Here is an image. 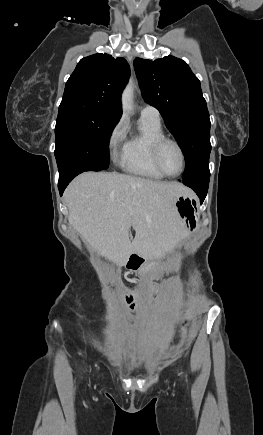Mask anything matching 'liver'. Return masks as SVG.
I'll return each instance as SVG.
<instances>
[{"instance_id": "1", "label": "liver", "mask_w": 263, "mask_h": 435, "mask_svg": "<svg viewBox=\"0 0 263 435\" xmlns=\"http://www.w3.org/2000/svg\"><path fill=\"white\" fill-rule=\"evenodd\" d=\"M187 192L178 182L85 172L69 184L64 199L69 223L86 245L121 267L133 253L157 259L180 244L188 229L175 201Z\"/></svg>"}]
</instances>
